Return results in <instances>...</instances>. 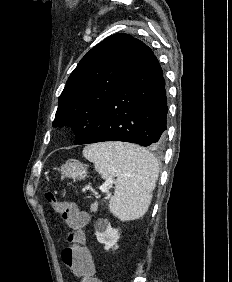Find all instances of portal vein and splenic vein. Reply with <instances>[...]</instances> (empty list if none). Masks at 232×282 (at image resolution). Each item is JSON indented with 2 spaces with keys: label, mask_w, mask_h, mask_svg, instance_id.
Returning a JSON list of instances; mask_svg holds the SVG:
<instances>
[{
  "label": "portal vein and splenic vein",
  "mask_w": 232,
  "mask_h": 282,
  "mask_svg": "<svg viewBox=\"0 0 232 282\" xmlns=\"http://www.w3.org/2000/svg\"><path fill=\"white\" fill-rule=\"evenodd\" d=\"M108 186H109V184L107 183V184H104L103 186H101L100 187V191H102V192H106L107 191V189H108Z\"/></svg>",
  "instance_id": "1"
}]
</instances>
